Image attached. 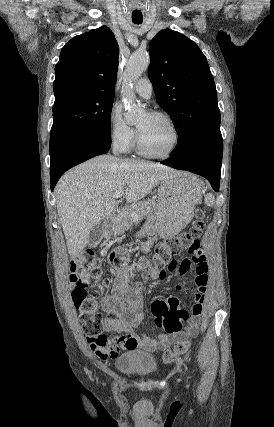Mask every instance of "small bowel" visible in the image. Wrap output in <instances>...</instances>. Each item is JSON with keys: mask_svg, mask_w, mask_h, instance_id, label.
I'll return each mask as SVG.
<instances>
[{"mask_svg": "<svg viewBox=\"0 0 274 427\" xmlns=\"http://www.w3.org/2000/svg\"><path fill=\"white\" fill-rule=\"evenodd\" d=\"M151 244V239L145 241L142 245L143 251H149ZM203 250L204 247L201 244H196L193 250L191 249L188 252L191 255L190 258L182 259L178 265L168 264L167 269L162 270L161 273L157 269L150 271V278L154 281H161L164 278H178L188 270L196 273L197 290L190 307V324L184 333H182V327H186L188 323L186 312L170 311L187 309V302L180 299L179 293H170L169 299L152 300V326L158 327L160 332H169L170 335L160 333L153 337L145 333L138 336L135 333V329L144 318V302L141 294L130 287L129 279L133 271L145 270L148 267V262L144 256H140L131 264L126 265L123 248H118L112 252L110 256L112 260L116 255L122 256L123 260L116 265L117 271L108 291L103 289V275L101 273H93L91 267L82 269L79 273L81 282L87 285L88 281L93 279V288L98 291L96 301L104 315L105 330L123 333L122 336L112 339L104 334L96 337L88 336L89 347L94 355L100 360H108L115 359L122 351L149 353L160 350L161 345L176 344L178 338L188 339L195 336L198 333L203 314L208 282L209 267Z\"/></svg>", "mask_w": 274, "mask_h": 427, "instance_id": "obj_1", "label": "small bowel"}]
</instances>
